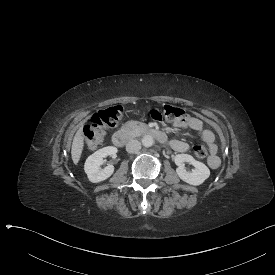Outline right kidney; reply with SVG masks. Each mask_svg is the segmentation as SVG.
<instances>
[{
	"label": "right kidney",
	"mask_w": 275,
	"mask_h": 275,
	"mask_svg": "<svg viewBox=\"0 0 275 275\" xmlns=\"http://www.w3.org/2000/svg\"><path fill=\"white\" fill-rule=\"evenodd\" d=\"M117 154V148L114 146L104 147L99 149L94 154L90 155L84 165L85 173L89 181L92 183L104 182L114 173V166L109 165L105 169L101 168L104 163V158L107 156H114Z\"/></svg>",
	"instance_id": "1"
}]
</instances>
